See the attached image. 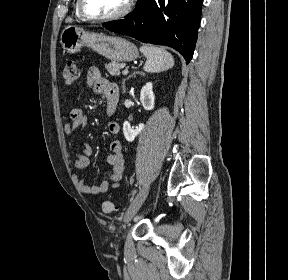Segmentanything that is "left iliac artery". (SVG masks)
I'll return each instance as SVG.
<instances>
[{
	"instance_id": "obj_1",
	"label": "left iliac artery",
	"mask_w": 288,
	"mask_h": 280,
	"mask_svg": "<svg viewBox=\"0 0 288 280\" xmlns=\"http://www.w3.org/2000/svg\"><path fill=\"white\" fill-rule=\"evenodd\" d=\"M140 188H141V185L140 184H137L136 185V188H135V191H133V193L131 194V196H129V201L131 203H134L136 201V198L138 196H140Z\"/></svg>"
}]
</instances>
